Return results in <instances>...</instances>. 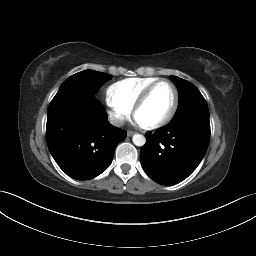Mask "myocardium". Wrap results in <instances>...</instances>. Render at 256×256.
Segmentation results:
<instances>
[{"label": "myocardium", "instance_id": "myocardium-1", "mask_svg": "<svg viewBox=\"0 0 256 256\" xmlns=\"http://www.w3.org/2000/svg\"><path fill=\"white\" fill-rule=\"evenodd\" d=\"M161 83H167L172 87V89L174 91V100H173V103H172V106H171L169 112L162 119H160L157 122L151 123V124H142V127L147 130L157 129V128H160V127L166 125L173 118V116L175 115L177 108H178L179 91H178L176 85L168 79H159V80L155 81L154 83L150 84L140 94V96L134 103L133 108H132L134 117H136V113L138 112V110L146 103V101L148 100L152 91Z\"/></svg>", "mask_w": 256, "mask_h": 256}]
</instances>
